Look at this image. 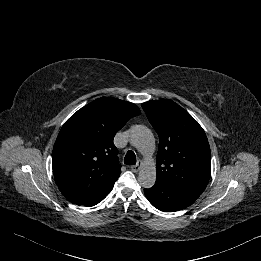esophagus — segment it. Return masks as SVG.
<instances>
[{"instance_id":"obj_1","label":"esophagus","mask_w":261,"mask_h":261,"mask_svg":"<svg viewBox=\"0 0 261 261\" xmlns=\"http://www.w3.org/2000/svg\"><path fill=\"white\" fill-rule=\"evenodd\" d=\"M142 166V162L139 160L136 165L130 167L133 172H138Z\"/></svg>"}]
</instances>
